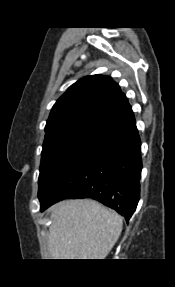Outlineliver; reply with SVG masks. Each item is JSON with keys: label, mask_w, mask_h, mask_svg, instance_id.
<instances>
[{"label": "liver", "mask_w": 175, "mask_h": 287, "mask_svg": "<svg viewBox=\"0 0 175 287\" xmlns=\"http://www.w3.org/2000/svg\"><path fill=\"white\" fill-rule=\"evenodd\" d=\"M51 259H105L122 231V217L100 203L66 200L51 208Z\"/></svg>", "instance_id": "1"}]
</instances>
